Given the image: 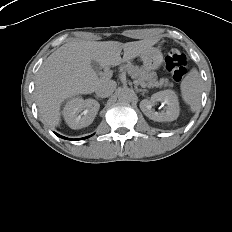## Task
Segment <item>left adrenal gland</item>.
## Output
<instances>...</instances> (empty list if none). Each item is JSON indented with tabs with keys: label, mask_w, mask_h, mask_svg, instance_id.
Returning a JSON list of instances; mask_svg holds the SVG:
<instances>
[{
	"label": "left adrenal gland",
	"mask_w": 232,
	"mask_h": 232,
	"mask_svg": "<svg viewBox=\"0 0 232 232\" xmlns=\"http://www.w3.org/2000/svg\"><path fill=\"white\" fill-rule=\"evenodd\" d=\"M139 91L144 93V92H146L147 90H146V89H140Z\"/></svg>",
	"instance_id": "a2214340"
}]
</instances>
